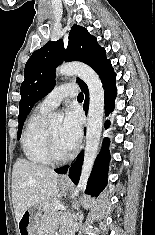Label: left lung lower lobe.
Masks as SVG:
<instances>
[{
	"instance_id": "left-lung-lower-lobe-1",
	"label": "left lung lower lobe",
	"mask_w": 155,
	"mask_h": 235,
	"mask_svg": "<svg viewBox=\"0 0 155 235\" xmlns=\"http://www.w3.org/2000/svg\"><path fill=\"white\" fill-rule=\"evenodd\" d=\"M99 77L101 78L103 88H104V98H105V113L108 116L109 113L114 108V100L116 97V74L112 68L111 62H109L100 72ZM81 90L85 93V104L84 109L87 113L89 105V91L87 85L81 87ZM109 122L105 123V127L108 128ZM109 139L105 138L103 141V147L99 153L93 170L91 172L90 178L88 180V185L86 189V194L97 197L107 185V174H108V164L110 160V155L108 151ZM83 161V152L80 153L78 159L71 165L69 170V177L74 184L79 181L81 173V165ZM69 166H64L55 171L59 174H65Z\"/></svg>"
}]
</instances>
